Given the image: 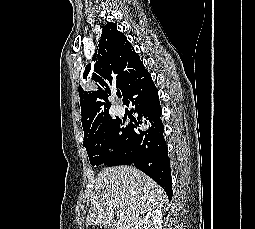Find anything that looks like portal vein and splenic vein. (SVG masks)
I'll list each match as a JSON object with an SVG mask.
<instances>
[{
    "label": "portal vein and splenic vein",
    "mask_w": 255,
    "mask_h": 229,
    "mask_svg": "<svg viewBox=\"0 0 255 229\" xmlns=\"http://www.w3.org/2000/svg\"><path fill=\"white\" fill-rule=\"evenodd\" d=\"M123 214V212L120 210L119 212H118V215H122Z\"/></svg>",
    "instance_id": "1"
}]
</instances>
